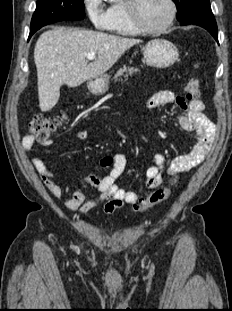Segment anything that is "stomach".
Listing matches in <instances>:
<instances>
[{
	"label": "stomach",
	"instance_id": "stomach-1",
	"mask_svg": "<svg viewBox=\"0 0 232 311\" xmlns=\"http://www.w3.org/2000/svg\"><path fill=\"white\" fill-rule=\"evenodd\" d=\"M146 63L155 68H166L173 65L179 59L177 47L170 41L154 39L143 48ZM109 76L101 75L87 82L88 90L95 95H102L108 89Z\"/></svg>",
	"mask_w": 232,
	"mask_h": 311
}]
</instances>
